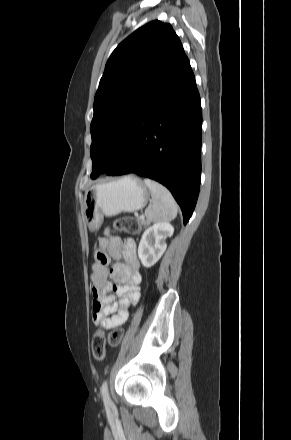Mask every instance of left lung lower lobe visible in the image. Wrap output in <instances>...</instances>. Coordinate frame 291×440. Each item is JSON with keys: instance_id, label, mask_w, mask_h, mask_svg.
I'll list each match as a JSON object with an SVG mask.
<instances>
[{"instance_id": "left-lung-lower-lobe-1", "label": "left lung lower lobe", "mask_w": 291, "mask_h": 440, "mask_svg": "<svg viewBox=\"0 0 291 440\" xmlns=\"http://www.w3.org/2000/svg\"><path fill=\"white\" fill-rule=\"evenodd\" d=\"M200 96L185 56L144 110L107 175L135 173L166 186L184 224L195 208L201 178Z\"/></svg>"}]
</instances>
